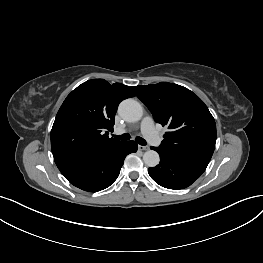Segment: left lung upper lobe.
Wrapping results in <instances>:
<instances>
[{"label": "left lung upper lobe", "mask_w": 263, "mask_h": 263, "mask_svg": "<svg viewBox=\"0 0 263 263\" xmlns=\"http://www.w3.org/2000/svg\"><path fill=\"white\" fill-rule=\"evenodd\" d=\"M157 123L169 131L158 148L176 158L208 165L216 143V124L204 102L189 89L167 82L132 87Z\"/></svg>", "instance_id": "1"}]
</instances>
